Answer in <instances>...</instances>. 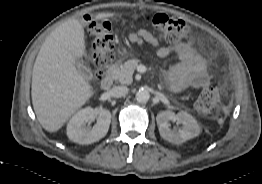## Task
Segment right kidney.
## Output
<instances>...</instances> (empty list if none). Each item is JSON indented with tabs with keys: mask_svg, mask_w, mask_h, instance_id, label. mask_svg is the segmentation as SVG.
Instances as JSON below:
<instances>
[{
	"mask_svg": "<svg viewBox=\"0 0 262 184\" xmlns=\"http://www.w3.org/2000/svg\"><path fill=\"white\" fill-rule=\"evenodd\" d=\"M97 120L92 128L87 124ZM111 113L106 109H93L91 107L78 111L67 125L68 138L78 144H91L103 138L109 129Z\"/></svg>",
	"mask_w": 262,
	"mask_h": 184,
	"instance_id": "obj_1",
	"label": "right kidney"
}]
</instances>
